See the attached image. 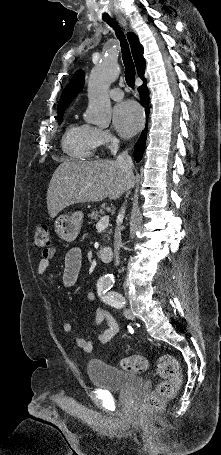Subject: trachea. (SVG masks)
<instances>
[{"instance_id": "1", "label": "trachea", "mask_w": 221, "mask_h": 455, "mask_svg": "<svg viewBox=\"0 0 221 455\" xmlns=\"http://www.w3.org/2000/svg\"><path fill=\"white\" fill-rule=\"evenodd\" d=\"M104 21L107 22L111 27H113L117 38L120 40L122 57H123V62H124V66H125V79H126L128 86L133 88L134 81H135V66H134V62L131 57L129 45L125 38V35H124L123 31L120 29L116 20H114L112 18H104Z\"/></svg>"}]
</instances>
